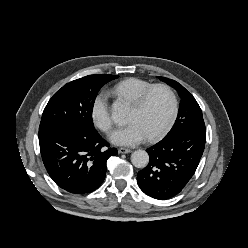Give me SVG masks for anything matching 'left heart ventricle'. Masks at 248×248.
<instances>
[{"instance_id": "b2bd125f", "label": "left heart ventricle", "mask_w": 248, "mask_h": 248, "mask_svg": "<svg viewBox=\"0 0 248 248\" xmlns=\"http://www.w3.org/2000/svg\"><path fill=\"white\" fill-rule=\"evenodd\" d=\"M171 110L169 94L162 89L151 93L141 109L131 106L128 122L138 123L147 136L154 134L166 121Z\"/></svg>"}]
</instances>
